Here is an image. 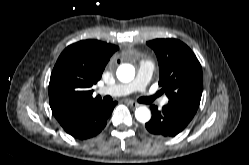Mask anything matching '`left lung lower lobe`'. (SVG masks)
<instances>
[{
  "mask_svg": "<svg viewBox=\"0 0 249 165\" xmlns=\"http://www.w3.org/2000/svg\"><path fill=\"white\" fill-rule=\"evenodd\" d=\"M152 118L145 124L146 129L157 136L174 137L190 123L195 113L167 104L161 110L150 106Z\"/></svg>",
  "mask_w": 249,
  "mask_h": 165,
  "instance_id": "left-lung-lower-lobe-1",
  "label": "left lung lower lobe"
}]
</instances>
